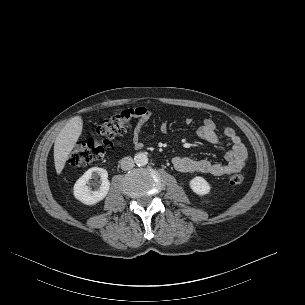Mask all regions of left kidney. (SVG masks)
Here are the masks:
<instances>
[{
	"label": "left kidney",
	"mask_w": 305,
	"mask_h": 305,
	"mask_svg": "<svg viewBox=\"0 0 305 305\" xmlns=\"http://www.w3.org/2000/svg\"><path fill=\"white\" fill-rule=\"evenodd\" d=\"M189 185L192 191L198 195L208 194L211 189L209 183L200 176H196L191 179Z\"/></svg>",
	"instance_id": "5707ae66"
}]
</instances>
